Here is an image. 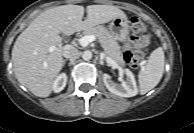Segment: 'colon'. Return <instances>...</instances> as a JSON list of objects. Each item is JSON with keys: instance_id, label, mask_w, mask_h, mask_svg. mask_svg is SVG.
<instances>
[{"instance_id": "1", "label": "colon", "mask_w": 194, "mask_h": 133, "mask_svg": "<svg viewBox=\"0 0 194 133\" xmlns=\"http://www.w3.org/2000/svg\"><path fill=\"white\" fill-rule=\"evenodd\" d=\"M131 28H132V31L138 35L144 36L147 33L146 25L138 17H133L131 19ZM144 56L145 54H141L136 50V47H134L133 49L125 53L124 59L129 65L133 67H137L142 62Z\"/></svg>"}]
</instances>
